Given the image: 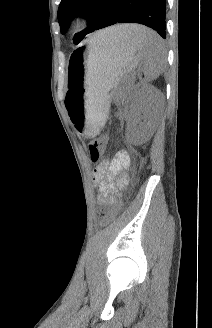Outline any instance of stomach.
I'll list each match as a JSON object with an SVG mask.
<instances>
[{
    "mask_svg": "<svg viewBox=\"0 0 212 328\" xmlns=\"http://www.w3.org/2000/svg\"><path fill=\"white\" fill-rule=\"evenodd\" d=\"M141 50L133 40H90L70 56L65 105L76 131L94 137L104 125L109 93L138 65Z\"/></svg>",
    "mask_w": 212,
    "mask_h": 328,
    "instance_id": "obj_1",
    "label": "stomach"
}]
</instances>
